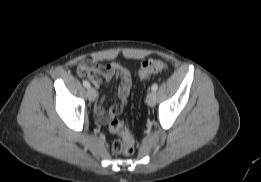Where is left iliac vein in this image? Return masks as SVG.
<instances>
[{
    "instance_id": "1",
    "label": "left iliac vein",
    "mask_w": 261,
    "mask_h": 182,
    "mask_svg": "<svg viewBox=\"0 0 261 182\" xmlns=\"http://www.w3.org/2000/svg\"><path fill=\"white\" fill-rule=\"evenodd\" d=\"M146 103L149 105V106H154L155 103H156V94L154 91H151L147 94V97H146Z\"/></svg>"
}]
</instances>
